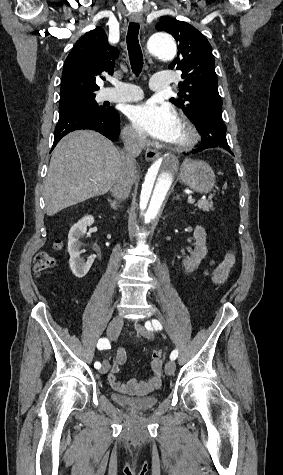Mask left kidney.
I'll list each match as a JSON object with an SVG mask.
<instances>
[{
	"label": "left kidney",
	"instance_id": "5707ae66",
	"mask_svg": "<svg viewBox=\"0 0 283 475\" xmlns=\"http://www.w3.org/2000/svg\"><path fill=\"white\" fill-rule=\"evenodd\" d=\"M193 236L196 239L195 247L193 251H190V255H187V257L183 259L185 271H194L208 251L206 247V232L204 228L196 226Z\"/></svg>",
	"mask_w": 283,
	"mask_h": 475
}]
</instances>
